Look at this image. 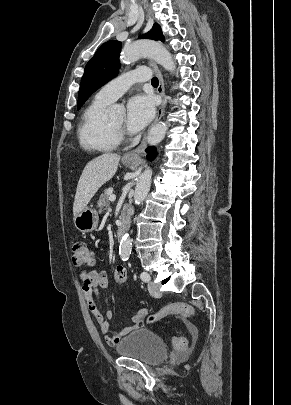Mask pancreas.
I'll use <instances>...</instances> for the list:
<instances>
[{
  "label": "pancreas",
  "instance_id": "cf45deb5",
  "mask_svg": "<svg viewBox=\"0 0 291 405\" xmlns=\"http://www.w3.org/2000/svg\"><path fill=\"white\" fill-rule=\"evenodd\" d=\"M109 197L110 194L108 192V190H105L103 194H101L99 201L97 203V207L99 209V213L104 212V210H106L109 207Z\"/></svg>",
  "mask_w": 291,
  "mask_h": 405
}]
</instances>
